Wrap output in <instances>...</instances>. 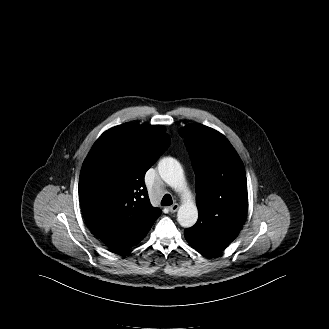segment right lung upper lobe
I'll list each match as a JSON object with an SVG mask.
<instances>
[{
  "label": "right lung upper lobe",
  "mask_w": 329,
  "mask_h": 329,
  "mask_svg": "<svg viewBox=\"0 0 329 329\" xmlns=\"http://www.w3.org/2000/svg\"><path fill=\"white\" fill-rule=\"evenodd\" d=\"M170 145L163 127L124 123L104 132L79 179L85 221L106 245L147 232L161 214L150 204L146 171Z\"/></svg>",
  "instance_id": "obj_1"
}]
</instances>
